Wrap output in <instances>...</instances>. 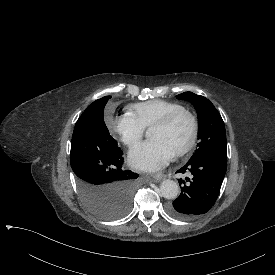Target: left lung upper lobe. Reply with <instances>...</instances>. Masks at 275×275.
Segmentation results:
<instances>
[{
	"instance_id": "obj_1",
	"label": "left lung upper lobe",
	"mask_w": 275,
	"mask_h": 275,
	"mask_svg": "<svg viewBox=\"0 0 275 275\" xmlns=\"http://www.w3.org/2000/svg\"><path fill=\"white\" fill-rule=\"evenodd\" d=\"M177 98L191 102L198 114L201 141L190 160L212 153L227 154L224 122L214 105L207 98L192 92H184Z\"/></svg>"
}]
</instances>
